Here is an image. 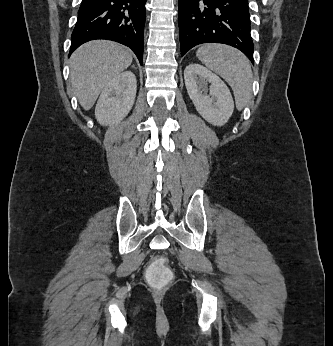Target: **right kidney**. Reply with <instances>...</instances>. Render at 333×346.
I'll return each mask as SVG.
<instances>
[{"instance_id":"ca27d5eb","label":"right kidney","mask_w":333,"mask_h":346,"mask_svg":"<svg viewBox=\"0 0 333 346\" xmlns=\"http://www.w3.org/2000/svg\"><path fill=\"white\" fill-rule=\"evenodd\" d=\"M137 81L133 72L124 71L113 78L103 89L95 117L101 125H112L123 120L134 104Z\"/></svg>"}]
</instances>
